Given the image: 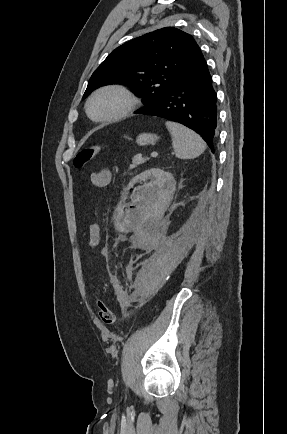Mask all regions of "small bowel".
Masks as SVG:
<instances>
[{
    "label": "small bowel",
    "mask_w": 287,
    "mask_h": 434,
    "mask_svg": "<svg viewBox=\"0 0 287 434\" xmlns=\"http://www.w3.org/2000/svg\"><path fill=\"white\" fill-rule=\"evenodd\" d=\"M91 183L97 188L108 186L112 179V173L108 169H102L91 174ZM101 241V230L98 224L93 223L88 228V243L91 248H97Z\"/></svg>",
    "instance_id": "c3829d8e"
}]
</instances>
